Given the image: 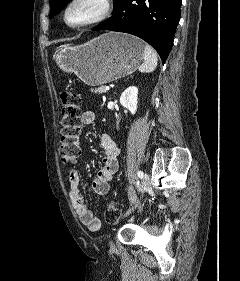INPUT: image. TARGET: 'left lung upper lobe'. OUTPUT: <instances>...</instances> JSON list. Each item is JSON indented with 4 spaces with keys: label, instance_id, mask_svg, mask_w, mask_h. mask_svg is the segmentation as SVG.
<instances>
[{
    "label": "left lung upper lobe",
    "instance_id": "obj_1",
    "mask_svg": "<svg viewBox=\"0 0 240 281\" xmlns=\"http://www.w3.org/2000/svg\"><path fill=\"white\" fill-rule=\"evenodd\" d=\"M70 0H50V15L49 18H52L56 14H58L64 7L65 5L69 2ZM117 0H114V3Z\"/></svg>",
    "mask_w": 240,
    "mask_h": 281
}]
</instances>
